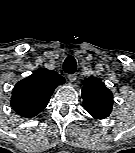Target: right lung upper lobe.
Here are the masks:
<instances>
[{"instance_id":"right-lung-upper-lobe-1","label":"right lung upper lobe","mask_w":135,"mask_h":153,"mask_svg":"<svg viewBox=\"0 0 135 153\" xmlns=\"http://www.w3.org/2000/svg\"><path fill=\"white\" fill-rule=\"evenodd\" d=\"M65 79L55 71L45 68L19 81L13 91L16 111L23 117H34L49 103V99L58 85Z\"/></svg>"}]
</instances>
